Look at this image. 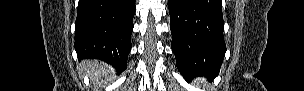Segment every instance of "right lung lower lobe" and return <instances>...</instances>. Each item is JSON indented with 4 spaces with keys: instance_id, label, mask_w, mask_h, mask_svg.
<instances>
[{
    "instance_id": "obj_1",
    "label": "right lung lower lobe",
    "mask_w": 304,
    "mask_h": 91,
    "mask_svg": "<svg viewBox=\"0 0 304 91\" xmlns=\"http://www.w3.org/2000/svg\"><path fill=\"white\" fill-rule=\"evenodd\" d=\"M135 0H79L75 22L78 58L103 60L126 69L131 49Z\"/></svg>"
}]
</instances>
